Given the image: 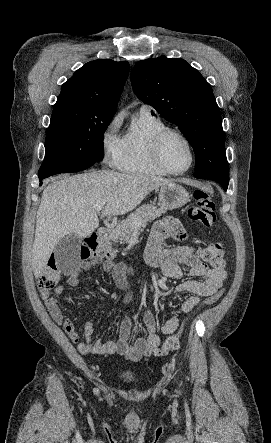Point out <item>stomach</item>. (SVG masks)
I'll return each instance as SVG.
<instances>
[{
  "label": "stomach",
  "mask_w": 271,
  "mask_h": 443,
  "mask_svg": "<svg viewBox=\"0 0 271 443\" xmlns=\"http://www.w3.org/2000/svg\"><path fill=\"white\" fill-rule=\"evenodd\" d=\"M189 194L178 184L174 182H169V184H164L159 190V204L161 208L165 210H174V208H181L189 202ZM115 237H120V231H116Z\"/></svg>",
  "instance_id": "0dacf381"
}]
</instances>
